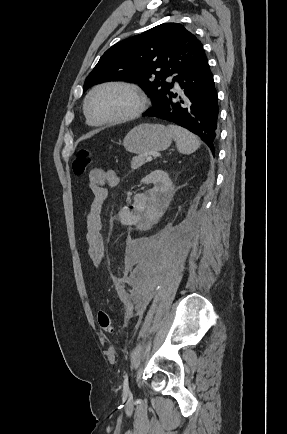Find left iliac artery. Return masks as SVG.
I'll return each mask as SVG.
<instances>
[{"mask_svg":"<svg viewBox=\"0 0 287 434\" xmlns=\"http://www.w3.org/2000/svg\"><path fill=\"white\" fill-rule=\"evenodd\" d=\"M123 393H124L125 395H127V394L130 393V390H129V384H128V374H127V373H126L125 376H124V382H123Z\"/></svg>","mask_w":287,"mask_h":434,"instance_id":"1","label":"left iliac artery"}]
</instances>
